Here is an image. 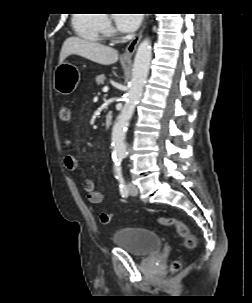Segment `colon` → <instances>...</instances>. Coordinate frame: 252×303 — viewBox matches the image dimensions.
Instances as JSON below:
<instances>
[{
  "mask_svg": "<svg viewBox=\"0 0 252 303\" xmlns=\"http://www.w3.org/2000/svg\"><path fill=\"white\" fill-rule=\"evenodd\" d=\"M59 117L63 122H68L70 120V109L66 105H62L59 108ZM112 215L109 213H101L100 221L103 224H108L111 221ZM158 222L164 226H174L178 232V234L183 239V245L186 249L192 250L197 246V239L193 233L189 230V228L181 221L173 217H159ZM182 265V260L177 259L171 263L170 271L177 272L180 270Z\"/></svg>",
  "mask_w": 252,
  "mask_h": 303,
  "instance_id": "colon-1",
  "label": "colon"
}]
</instances>
